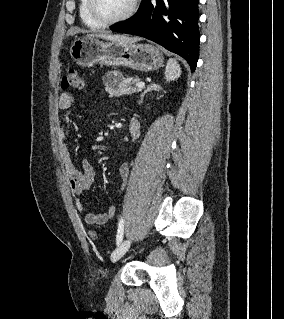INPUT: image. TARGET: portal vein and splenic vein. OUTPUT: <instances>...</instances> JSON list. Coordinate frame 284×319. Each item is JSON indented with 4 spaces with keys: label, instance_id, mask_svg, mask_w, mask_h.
<instances>
[{
    "label": "portal vein and splenic vein",
    "instance_id": "obj_1",
    "mask_svg": "<svg viewBox=\"0 0 284 319\" xmlns=\"http://www.w3.org/2000/svg\"><path fill=\"white\" fill-rule=\"evenodd\" d=\"M135 85H136V87H138V88H144V87H145V83L142 82V81L137 82Z\"/></svg>",
    "mask_w": 284,
    "mask_h": 319
}]
</instances>
